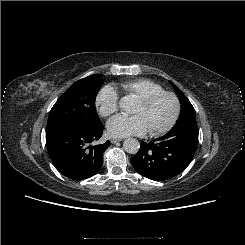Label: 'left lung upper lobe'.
Instances as JSON below:
<instances>
[{
	"mask_svg": "<svg viewBox=\"0 0 245 245\" xmlns=\"http://www.w3.org/2000/svg\"><path fill=\"white\" fill-rule=\"evenodd\" d=\"M181 103V113L174 127L163 137L173 143L189 144L197 147L198 126L195 109L188 98L171 82Z\"/></svg>",
	"mask_w": 245,
	"mask_h": 245,
	"instance_id": "obj_1",
	"label": "left lung upper lobe"
}]
</instances>
